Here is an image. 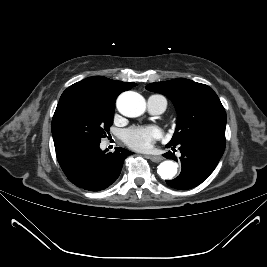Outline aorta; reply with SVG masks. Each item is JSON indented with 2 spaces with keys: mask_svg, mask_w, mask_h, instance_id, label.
I'll return each mask as SVG.
<instances>
[{
  "mask_svg": "<svg viewBox=\"0 0 267 267\" xmlns=\"http://www.w3.org/2000/svg\"><path fill=\"white\" fill-rule=\"evenodd\" d=\"M117 108L126 117H138L145 112L146 102L140 94L128 91L118 97ZM177 168V163L166 160L160 163L157 173L164 180L172 179L177 174Z\"/></svg>",
  "mask_w": 267,
  "mask_h": 267,
  "instance_id": "1",
  "label": "aorta"
}]
</instances>
